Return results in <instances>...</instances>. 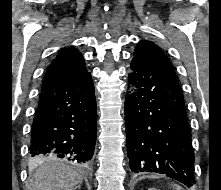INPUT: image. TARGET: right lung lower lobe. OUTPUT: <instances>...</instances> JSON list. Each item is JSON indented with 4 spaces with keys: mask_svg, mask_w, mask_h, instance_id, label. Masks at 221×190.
<instances>
[{
    "mask_svg": "<svg viewBox=\"0 0 221 190\" xmlns=\"http://www.w3.org/2000/svg\"><path fill=\"white\" fill-rule=\"evenodd\" d=\"M96 134L97 108L90 73L40 92L31 128L32 157L89 165Z\"/></svg>",
    "mask_w": 221,
    "mask_h": 190,
    "instance_id": "98d812e1",
    "label": "right lung lower lobe"
}]
</instances>
